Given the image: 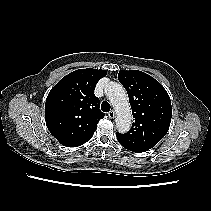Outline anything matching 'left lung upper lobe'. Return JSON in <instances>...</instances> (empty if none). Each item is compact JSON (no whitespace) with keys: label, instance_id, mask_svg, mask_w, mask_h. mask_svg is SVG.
Wrapping results in <instances>:
<instances>
[{"label":"left lung upper lobe","instance_id":"1","mask_svg":"<svg viewBox=\"0 0 211 211\" xmlns=\"http://www.w3.org/2000/svg\"><path fill=\"white\" fill-rule=\"evenodd\" d=\"M118 80L128 93L134 122L127 133H117V139L130 151L145 152L168 132L170 97L158 81L139 70L119 71Z\"/></svg>","mask_w":211,"mask_h":211}]
</instances>
